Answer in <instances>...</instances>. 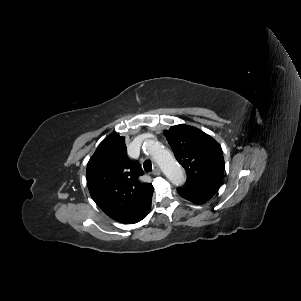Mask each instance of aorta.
I'll list each match as a JSON object with an SVG mask.
<instances>
[{"mask_svg":"<svg viewBox=\"0 0 301 301\" xmlns=\"http://www.w3.org/2000/svg\"><path fill=\"white\" fill-rule=\"evenodd\" d=\"M143 147L158 163L172 184L180 186L185 182L183 169L175 161L171 153L164 149L159 142L148 140L144 143Z\"/></svg>","mask_w":301,"mask_h":301,"instance_id":"1","label":"aorta"}]
</instances>
